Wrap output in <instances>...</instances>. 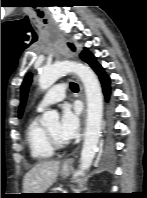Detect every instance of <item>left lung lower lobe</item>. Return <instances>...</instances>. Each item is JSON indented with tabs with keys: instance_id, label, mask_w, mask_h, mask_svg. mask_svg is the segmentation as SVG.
<instances>
[{
	"instance_id": "left-lung-lower-lobe-1",
	"label": "left lung lower lobe",
	"mask_w": 147,
	"mask_h": 198,
	"mask_svg": "<svg viewBox=\"0 0 147 198\" xmlns=\"http://www.w3.org/2000/svg\"><path fill=\"white\" fill-rule=\"evenodd\" d=\"M83 60L87 62L99 75V78L102 83L103 92L105 94L106 99L108 100L110 95V79L104 72L102 66L96 62L95 57L88 51H86Z\"/></svg>"
}]
</instances>
